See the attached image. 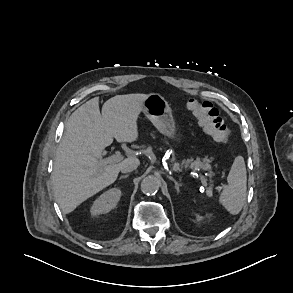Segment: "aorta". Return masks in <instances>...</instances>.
Wrapping results in <instances>:
<instances>
[{"instance_id": "762f6f07", "label": "aorta", "mask_w": 293, "mask_h": 293, "mask_svg": "<svg viewBox=\"0 0 293 293\" xmlns=\"http://www.w3.org/2000/svg\"><path fill=\"white\" fill-rule=\"evenodd\" d=\"M161 186L160 180L153 176H146L141 182V191L147 195L155 194Z\"/></svg>"}]
</instances>
